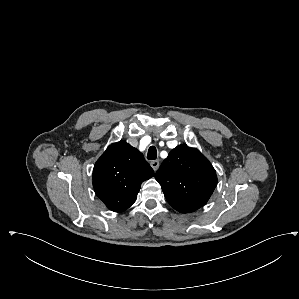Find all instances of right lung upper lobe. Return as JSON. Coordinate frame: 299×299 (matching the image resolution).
I'll list each match as a JSON object with an SVG mask.
<instances>
[{"label": "right lung upper lobe", "mask_w": 299, "mask_h": 299, "mask_svg": "<svg viewBox=\"0 0 299 299\" xmlns=\"http://www.w3.org/2000/svg\"><path fill=\"white\" fill-rule=\"evenodd\" d=\"M154 171L141 152L119 141L110 145L93 169L96 195L114 212L128 209L136 200L143 181Z\"/></svg>", "instance_id": "1"}]
</instances>
